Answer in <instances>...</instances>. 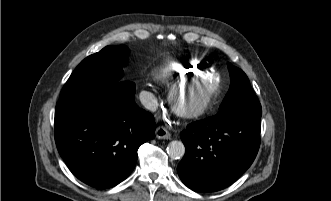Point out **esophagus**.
Returning <instances> with one entry per match:
<instances>
[{
  "label": "esophagus",
  "instance_id": "obj_1",
  "mask_svg": "<svg viewBox=\"0 0 331 201\" xmlns=\"http://www.w3.org/2000/svg\"><path fill=\"white\" fill-rule=\"evenodd\" d=\"M155 135L158 139H169L171 136L164 126H159L155 131Z\"/></svg>",
  "mask_w": 331,
  "mask_h": 201
}]
</instances>
